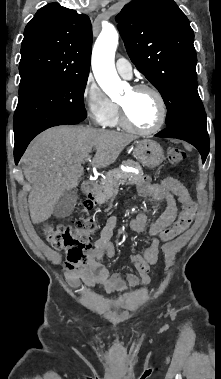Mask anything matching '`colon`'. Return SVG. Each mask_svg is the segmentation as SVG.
I'll return each instance as SVG.
<instances>
[{
  "label": "colon",
  "mask_w": 221,
  "mask_h": 379,
  "mask_svg": "<svg viewBox=\"0 0 221 379\" xmlns=\"http://www.w3.org/2000/svg\"><path fill=\"white\" fill-rule=\"evenodd\" d=\"M168 159L172 165H179L185 161L186 153L182 149L173 147L168 150ZM81 207L85 213L73 224L44 227V234L49 243L55 249L66 252V267L75 272L83 271L90 262L91 236L96 229V221L89 214L94 207L93 201L83 200ZM195 212L196 205L193 202L183 207L174 224L161 232V240H172L188 229L194 220Z\"/></svg>",
  "instance_id": "1"
}]
</instances>
